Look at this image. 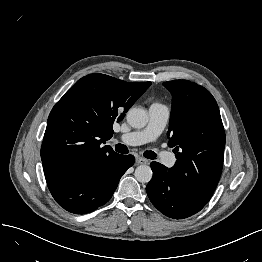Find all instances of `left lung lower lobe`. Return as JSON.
I'll list each match as a JSON object with an SVG mask.
<instances>
[{
  "instance_id": "1",
  "label": "left lung lower lobe",
  "mask_w": 262,
  "mask_h": 262,
  "mask_svg": "<svg viewBox=\"0 0 262 262\" xmlns=\"http://www.w3.org/2000/svg\"><path fill=\"white\" fill-rule=\"evenodd\" d=\"M153 177L146 187L152 204L172 219L188 218L203 208L185 187L175 181L171 170L158 162H152Z\"/></svg>"
}]
</instances>
